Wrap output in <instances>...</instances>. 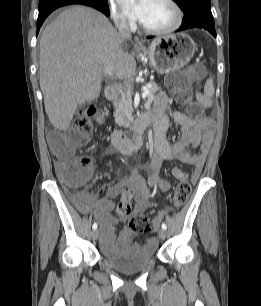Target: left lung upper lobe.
Wrapping results in <instances>:
<instances>
[{"label":"left lung upper lobe","instance_id":"5c2ea615","mask_svg":"<svg viewBox=\"0 0 261 306\" xmlns=\"http://www.w3.org/2000/svg\"><path fill=\"white\" fill-rule=\"evenodd\" d=\"M174 1L182 9L184 14L197 10L211 13L210 0H174Z\"/></svg>","mask_w":261,"mask_h":306}]
</instances>
